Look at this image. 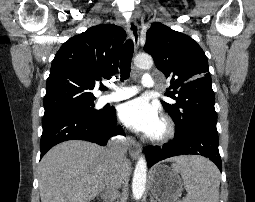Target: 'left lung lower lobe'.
Wrapping results in <instances>:
<instances>
[{"label": "left lung lower lobe", "instance_id": "0a47b994", "mask_svg": "<svg viewBox=\"0 0 255 202\" xmlns=\"http://www.w3.org/2000/svg\"><path fill=\"white\" fill-rule=\"evenodd\" d=\"M148 167L158 161L182 154H196L208 157L222 170L218 150V133L208 129H195L185 133H175L172 142L163 146H148L145 150Z\"/></svg>", "mask_w": 255, "mask_h": 202}]
</instances>
